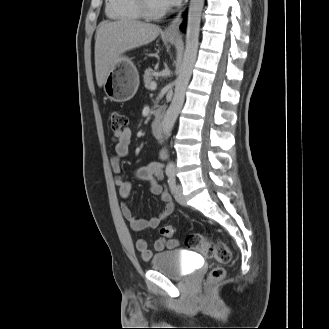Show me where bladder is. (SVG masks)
Returning a JSON list of instances; mask_svg holds the SVG:
<instances>
[{"label": "bladder", "mask_w": 329, "mask_h": 329, "mask_svg": "<svg viewBox=\"0 0 329 329\" xmlns=\"http://www.w3.org/2000/svg\"><path fill=\"white\" fill-rule=\"evenodd\" d=\"M151 269L173 279H182L187 275L179 249L157 253L151 260Z\"/></svg>", "instance_id": "bladder-1"}]
</instances>
